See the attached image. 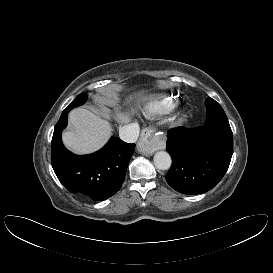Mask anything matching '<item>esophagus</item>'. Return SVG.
<instances>
[{
    "label": "esophagus",
    "instance_id": "esophagus-1",
    "mask_svg": "<svg viewBox=\"0 0 273 273\" xmlns=\"http://www.w3.org/2000/svg\"><path fill=\"white\" fill-rule=\"evenodd\" d=\"M155 132L156 130L153 128H145L142 130L137 147L141 154L152 155L155 151L165 148V139Z\"/></svg>",
    "mask_w": 273,
    "mask_h": 273
}]
</instances>
